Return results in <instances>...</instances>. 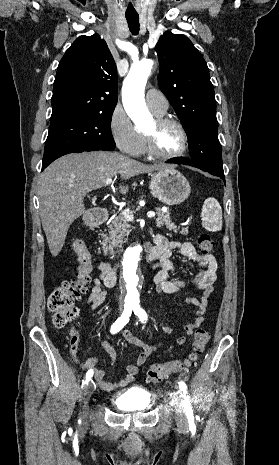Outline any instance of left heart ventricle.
<instances>
[{
    "label": "left heart ventricle",
    "mask_w": 279,
    "mask_h": 465,
    "mask_svg": "<svg viewBox=\"0 0 279 465\" xmlns=\"http://www.w3.org/2000/svg\"><path fill=\"white\" fill-rule=\"evenodd\" d=\"M146 132L155 133V143L157 149L162 153H174L178 151L182 144L181 134L174 125H167L157 128L153 122Z\"/></svg>",
    "instance_id": "b2bd125f"
}]
</instances>
